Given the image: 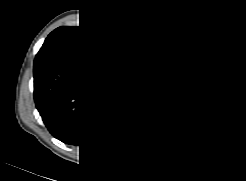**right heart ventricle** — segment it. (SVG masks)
Here are the masks:
<instances>
[{"label":"right heart ventricle","instance_id":"1","mask_svg":"<svg viewBox=\"0 0 246 181\" xmlns=\"http://www.w3.org/2000/svg\"><path fill=\"white\" fill-rule=\"evenodd\" d=\"M155 45V41H147L140 43L138 45H130L127 47L126 59L128 61H134L137 58H140L146 55Z\"/></svg>","mask_w":246,"mask_h":181}]
</instances>
